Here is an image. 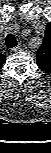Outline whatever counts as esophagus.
<instances>
[{
    "label": "esophagus",
    "mask_w": 51,
    "mask_h": 153,
    "mask_svg": "<svg viewBox=\"0 0 51 153\" xmlns=\"http://www.w3.org/2000/svg\"><path fill=\"white\" fill-rule=\"evenodd\" d=\"M22 50V48H21V46H16V47H14V48H12V52H18V51H21Z\"/></svg>",
    "instance_id": "obj_1"
}]
</instances>
